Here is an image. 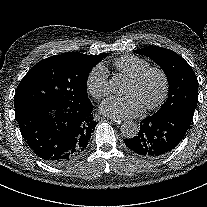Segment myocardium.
Returning <instances> with one entry per match:
<instances>
[{
    "label": "myocardium",
    "instance_id": "myocardium-1",
    "mask_svg": "<svg viewBox=\"0 0 207 207\" xmlns=\"http://www.w3.org/2000/svg\"><path fill=\"white\" fill-rule=\"evenodd\" d=\"M152 73H156L162 79V92L159 98L156 100V102H154L153 104L149 105L144 109V113L153 112L159 109L164 104V102L168 97L169 89H170L169 76L162 68L150 66L145 70L141 71L136 76L130 78L129 80L130 83L134 85H139Z\"/></svg>",
    "mask_w": 207,
    "mask_h": 207
}]
</instances>
